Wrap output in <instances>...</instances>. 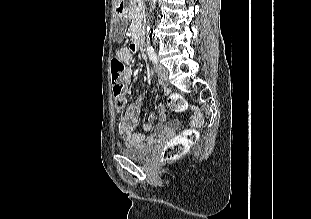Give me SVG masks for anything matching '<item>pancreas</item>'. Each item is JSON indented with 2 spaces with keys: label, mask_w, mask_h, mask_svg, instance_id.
<instances>
[{
  "label": "pancreas",
  "mask_w": 311,
  "mask_h": 219,
  "mask_svg": "<svg viewBox=\"0 0 311 219\" xmlns=\"http://www.w3.org/2000/svg\"><path fill=\"white\" fill-rule=\"evenodd\" d=\"M137 2L136 0H130L128 13V17L131 20L130 31L133 34H137L140 31L144 14V4H137Z\"/></svg>",
  "instance_id": "pancreas-1"
}]
</instances>
